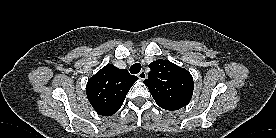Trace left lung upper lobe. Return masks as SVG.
I'll list each match as a JSON object with an SVG mask.
<instances>
[{"label":"left lung upper lobe","mask_w":276,"mask_h":138,"mask_svg":"<svg viewBox=\"0 0 276 138\" xmlns=\"http://www.w3.org/2000/svg\"><path fill=\"white\" fill-rule=\"evenodd\" d=\"M144 80L155 102L165 110H178L191 100L194 83L189 71L168 60H156Z\"/></svg>","instance_id":"5c2ea615"}]
</instances>
